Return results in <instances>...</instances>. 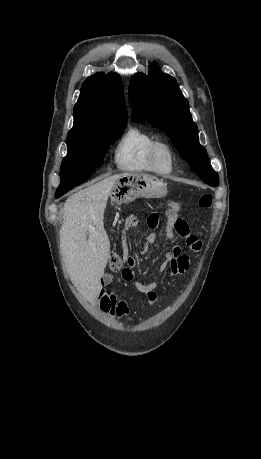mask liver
<instances>
[{"instance_id":"obj_1","label":"liver","mask_w":261,"mask_h":459,"mask_svg":"<svg viewBox=\"0 0 261 459\" xmlns=\"http://www.w3.org/2000/svg\"><path fill=\"white\" fill-rule=\"evenodd\" d=\"M123 175L106 177L76 192L64 205L60 249L71 281L89 302L96 301L100 294V279L110 255L104 211L114 185Z\"/></svg>"}]
</instances>
